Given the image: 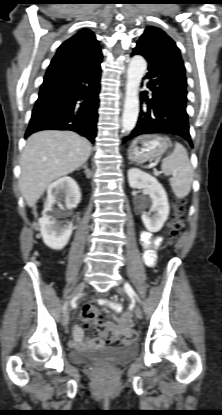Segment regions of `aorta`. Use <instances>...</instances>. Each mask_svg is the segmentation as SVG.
<instances>
[{
	"label": "aorta",
	"mask_w": 222,
	"mask_h": 415,
	"mask_svg": "<svg viewBox=\"0 0 222 415\" xmlns=\"http://www.w3.org/2000/svg\"><path fill=\"white\" fill-rule=\"evenodd\" d=\"M147 63L140 56H134L128 66L126 94L122 116L123 131L130 133L137 122L139 115V87L146 71Z\"/></svg>",
	"instance_id": "obj_1"
}]
</instances>
